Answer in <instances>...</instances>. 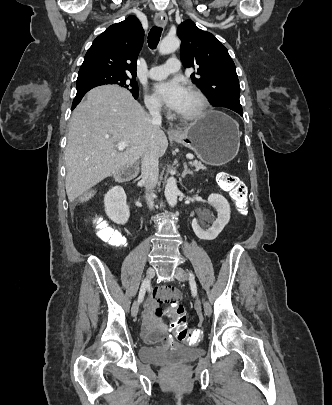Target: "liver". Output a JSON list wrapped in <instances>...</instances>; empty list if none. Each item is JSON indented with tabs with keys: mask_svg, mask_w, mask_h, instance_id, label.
<instances>
[{
	"mask_svg": "<svg viewBox=\"0 0 332 405\" xmlns=\"http://www.w3.org/2000/svg\"><path fill=\"white\" fill-rule=\"evenodd\" d=\"M128 144L117 151L118 142ZM168 147L159 125L125 89L101 86L91 89L74 110L65 149L68 200L81 194L108 176L136 163L148 149L158 158Z\"/></svg>",
	"mask_w": 332,
	"mask_h": 405,
	"instance_id": "liver-1",
	"label": "liver"
}]
</instances>
